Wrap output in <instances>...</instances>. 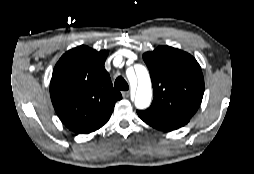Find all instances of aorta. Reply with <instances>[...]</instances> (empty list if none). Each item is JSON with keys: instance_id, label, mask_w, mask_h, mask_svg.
<instances>
[{"instance_id": "1", "label": "aorta", "mask_w": 254, "mask_h": 174, "mask_svg": "<svg viewBox=\"0 0 254 174\" xmlns=\"http://www.w3.org/2000/svg\"><path fill=\"white\" fill-rule=\"evenodd\" d=\"M135 72L127 71V76L130 81L136 79L137 90L135 95V106L138 109H146L149 107L152 100V87L149 73L143 65H135Z\"/></svg>"}]
</instances>
